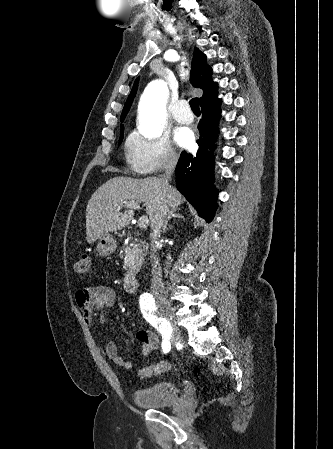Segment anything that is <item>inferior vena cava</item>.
<instances>
[{
    "label": "inferior vena cava",
    "mask_w": 333,
    "mask_h": 449,
    "mask_svg": "<svg viewBox=\"0 0 333 449\" xmlns=\"http://www.w3.org/2000/svg\"><path fill=\"white\" fill-rule=\"evenodd\" d=\"M177 164V158L172 157L167 165L166 172L162 180V188H163V196L161 198V204L159 206L158 212L155 215V219L152 224V232L150 234L151 240V254L150 257L153 260L152 263V284L151 291L156 299H164L165 298V288L162 279V270L159 266V256L157 254L158 246L160 245L161 239V229L163 227L164 219L169 211L168 200H167V192L170 188L169 181L171 179V175L174 171V168Z\"/></svg>",
    "instance_id": "602c4592"
}]
</instances>
